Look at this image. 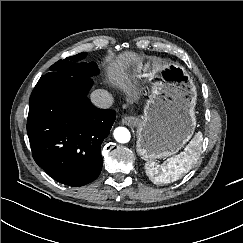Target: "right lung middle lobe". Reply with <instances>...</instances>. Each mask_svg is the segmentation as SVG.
Listing matches in <instances>:
<instances>
[{"instance_id":"right-lung-middle-lobe-1","label":"right lung middle lobe","mask_w":243,"mask_h":243,"mask_svg":"<svg viewBox=\"0 0 243 243\" xmlns=\"http://www.w3.org/2000/svg\"><path fill=\"white\" fill-rule=\"evenodd\" d=\"M86 53L82 52L70 56L64 60H59L50 67V72L42 77L70 78V77H91L99 73L96 63H86L82 60Z\"/></svg>"}]
</instances>
